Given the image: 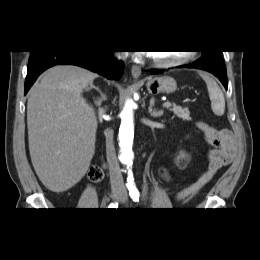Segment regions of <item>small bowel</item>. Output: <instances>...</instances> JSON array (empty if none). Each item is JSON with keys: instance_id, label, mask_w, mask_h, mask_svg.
<instances>
[{"instance_id": "small-bowel-1", "label": "small bowel", "mask_w": 260, "mask_h": 260, "mask_svg": "<svg viewBox=\"0 0 260 260\" xmlns=\"http://www.w3.org/2000/svg\"><path fill=\"white\" fill-rule=\"evenodd\" d=\"M198 128L203 132L205 139L214 146L206 154L207 167L200 178L178 192L175 200L186 203L191 200L223 166L228 165L236 151V143L232 132L228 129H214L203 122L198 123Z\"/></svg>"}]
</instances>
